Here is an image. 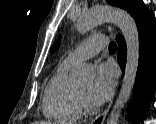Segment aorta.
Returning a JSON list of instances; mask_svg holds the SVG:
<instances>
[{"label": "aorta", "instance_id": "762f6f07", "mask_svg": "<svg viewBox=\"0 0 156 124\" xmlns=\"http://www.w3.org/2000/svg\"><path fill=\"white\" fill-rule=\"evenodd\" d=\"M104 22H113L119 27L127 47L125 74L119 94L107 119V124H118L135 84L139 64V34L136 22L129 13L121 9L104 7L92 9L84 14L78 20V31L84 34ZM75 75L79 80H87L92 77L93 69L88 65H83L76 70Z\"/></svg>", "mask_w": 156, "mask_h": 124}]
</instances>
